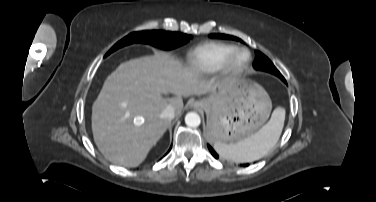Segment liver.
<instances>
[{
    "instance_id": "liver-1",
    "label": "liver",
    "mask_w": 376,
    "mask_h": 202,
    "mask_svg": "<svg viewBox=\"0 0 376 202\" xmlns=\"http://www.w3.org/2000/svg\"><path fill=\"white\" fill-rule=\"evenodd\" d=\"M213 79L156 51L121 63L105 80L92 108V131L100 152L109 161L136 167L160 140L171 121L160 118L172 106L175 115L183 109L182 96L204 95L216 89ZM174 94L164 98L162 94Z\"/></svg>"
}]
</instances>
